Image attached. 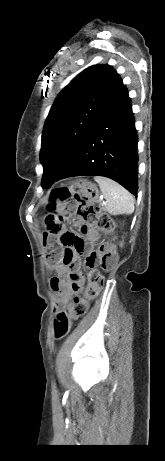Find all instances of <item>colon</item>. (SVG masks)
Segmentation results:
<instances>
[{
	"mask_svg": "<svg viewBox=\"0 0 165 461\" xmlns=\"http://www.w3.org/2000/svg\"><path fill=\"white\" fill-rule=\"evenodd\" d=\"M96 188L86 180L74 182L69 186L56 189L48 202L49 214L45 219L44 246L47 251L45 261L48 267L60 263L61 251H73L58 248L59 230L63 229L69 212H73L82 221L95 225L101 231L108 233L113 228L109 215L100 213L95 203ZM116 262V253L108 245H102L86 258L88 285L81 296L74 298L68 313H59L54 323L56 339L64 338L71 323L85 315L88 303L98 297L104 286L103 276L95 270L96 266L111 269Z\"/></svg>",
	"mask_w": 165,
	"mask_h": 461,
	"instance_id": "colon-1",
	"label": "colon"
}]
</instances>
